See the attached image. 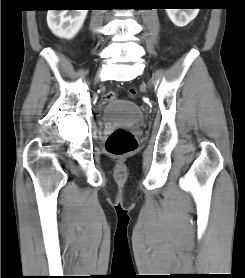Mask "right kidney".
<instances>
[{"mask_svg":"<svg viewBox=\"0 0 245 278\" xmlns=\"http://www.w3.org/2000/svg\"><path fill=\"white\" fill-rule=\"evenodd\" d=\"M88 10H48L47 24L54 35L71 39L81 29Z\"/></svg>","mask_w":245,"mask_h":278,"instance_id":"ca27d5eb","label":"right kidney"}]
</instances>
